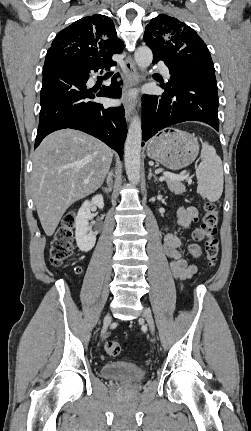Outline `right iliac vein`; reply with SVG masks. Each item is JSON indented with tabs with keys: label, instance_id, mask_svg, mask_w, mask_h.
Returning <instances> with one entry per match:
<instances>
[{
	"label": "right iliac vein",
	"instance_id": "1",
	"mask_svg": "<svg viewBox=\"0 0 251 431\" xmlns=\"http://www.w3.org/2000/svg\"><path fill=\"white\" fill-rule=\"evenodd\" d=\"M111 321H112V317H111V315L108 313V314L105 316V318H104V328H103V330H102V334H101V336H102V337H105V336H106V334H107V328H108V326L110 325Z\"/></svg>",
	"mask_w": 251,
	"mask_h": 431
}]
</instances>
